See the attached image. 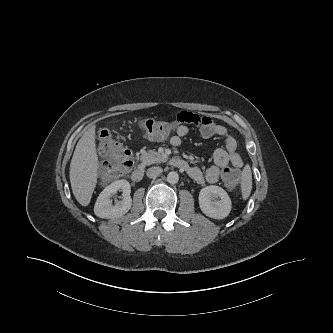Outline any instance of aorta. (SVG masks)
<instances>
[{"label": "aorta", "mask_w": 333, "mask_h": 333, "mask_svg": "<svg viewBox=\"0 0 333 333\" xmlns=\"http://www.w3.org/2000/svg\"><path fill=\"white\" fill-rule=\"evenodd\" d=\"M179 180V175L177 172L175 171H171L168 173L167 175V181L170 183V184H176Z\"/></svg>", "instance_id": "obj_1"}]
</instances>
